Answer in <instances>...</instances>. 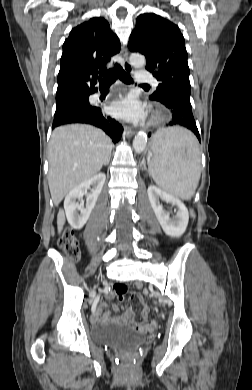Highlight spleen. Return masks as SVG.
<instances>
[{
	"instance_id": "1",
	"label": "spleen",
	"mask_w": 252,
	"mask_h": 390,
	"mask_svg": "<svg viewBox=\"0 0 252 390\" xmlns=\"http://www.w3.org/2000/svg\"><path fill=\"white\" fill-rule=\"evenodd\" d=\"M149 174L166 192L189 200L198 186L201 166L196 137L180 127L159 130L151 143Z\"/></svg>"
}]
</instances>
